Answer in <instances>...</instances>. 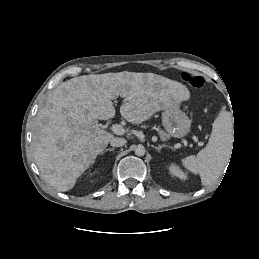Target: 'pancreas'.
<instances>
[{
  "mask_svg": "<svg viewBox=\"0 0 259 259\" xmlns=\"http://www.w3.org/2000/svg\"><path fill=\"white\" fill-rule=\"evenodd\" d=\"M145 127V126H144ZM159 134L161 136L162 139H165L167 137L166 133L163 131H159Z\"/></svg>",
  "mask_w": 259,
  "mask_h": 259,
  "instance_id": "obj_1",
  "label": "pancreas"
}]
</instances>
